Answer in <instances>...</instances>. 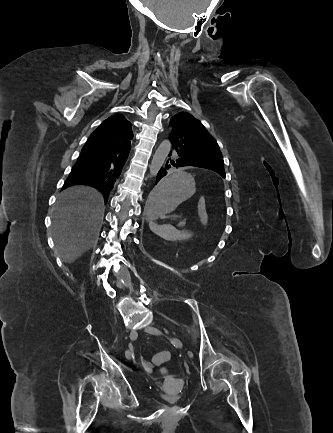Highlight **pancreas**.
<instances>
[{
	"label": "pancreas",
	"instance_id": "cf45deb5",
	"mask_svg": "<svg viewBox=\"0 0 333 433\" xmlns=\"http://www.w3.org/2000/svg\"><path fill=\"white\" fill-rule=\"evenodd\" d=\"M184 225H185L184 222H180V223L178 224L179 227H183Z\"/></svg>",
	"mask_w": 333,
	"mask_h": 433
}]
</instances>
